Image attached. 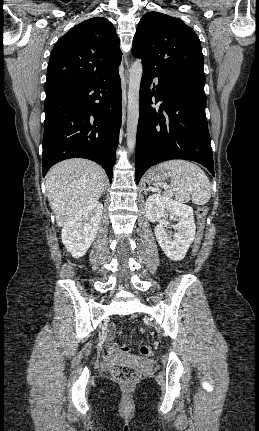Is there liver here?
<instances>
[{
  "mask_svg": "<svg viewBox=\"0 0 259 431\" xmlns=\"http://www.w3.org/2000/svg\"><path fill=\"white\" fill-rule=\"evenodd\" d=\"M105 186V172L93 161L69 159L54 165L46 175V188L58 226L96 202Z\"/></svg>",
  "mask_w": 259,
  "mask_h": 431,
  "instance_id": "obj_1",
  "label": "liver"
}]
</instances>
